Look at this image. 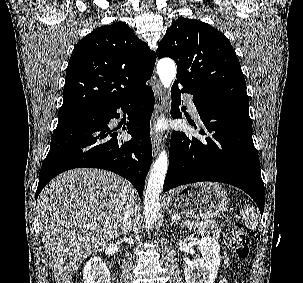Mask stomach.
<instances>
[{
  "label": "stomach",
  "mask_w": 303,
  "mask_h": 283,
  "mask_svg": "<svg viewBox=\"0 0 303 283\" xmlns=\"http://www.w3.org/2000/svg\"><path fill=\"white\" fill-rule=\"evenodd\" d=\"M229 200L219 184L197 183L172 190L167 195V209L191 219H212L224 214Z\"/></svg>",
  "instance_id": "stomach-1"
}]
</instances>
